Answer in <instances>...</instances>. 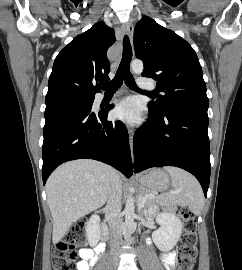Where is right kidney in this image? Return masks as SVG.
<instances>
[{"label": "right kidney", "mask_w": 242, "mask_h": 270, "mask_svg": "<svg viewBox=\"0 0 242 270\" xmlns=\"http://www.w3.org/2000/svg\"><path fill=\"white\" fill-rule=\"evenodd\" d=\"M100 218L94 214L85 224L86 237L90 246H95L100 239Z\"/></svg>", "instance_id": "right-kidney-1"}]
</instances>
